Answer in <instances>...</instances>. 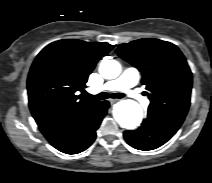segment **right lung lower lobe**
Masks as SVG:
<instances>
[{
  "instance_id": "right-lung-lower-lobe-1",
  "label": "right lung lower lobe",
  "mask_w": 212,
  "mask_h": 183,
  "mask_svg": "<svg viewBox=\"0 0 212 183\" xmlns=\"http://www.w3.org/2000/svg\"><path fill=\"white\" fill-rule=\"evenodd\" d=\"M109 108L108 101L76 115L62 117L40 126V131L56 149L67 154H77L87 149L96 138L103 117Z\"/></svg>"
}]
</instances>
